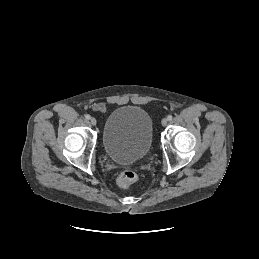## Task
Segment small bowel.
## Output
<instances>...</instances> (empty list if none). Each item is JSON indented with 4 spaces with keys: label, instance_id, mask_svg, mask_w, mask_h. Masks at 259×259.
Wrapping results in <instances>:
<instances>
[{
    "label": "small bowel",
    "instance_id": "obj_1",
    "mask_svg": "<svg viewBox=\"0 0 259 259\" xmlns=\"http://www.w3.org/2000/svg\"><path fill=\"white\" fill-rule=\"evenodd\" d=\"M95 109L98 110V111H104V106L103 105H96Z\"/></svg>",
    "mask_w": 259,
    "mask_h": 259
}]
</instances>
